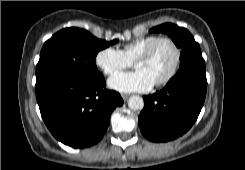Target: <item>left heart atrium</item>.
<instances>
[{"label":"left heart atrium","mask_w":245,"mask_h":170,"mask_svg":"<svg viewBox=\"0 0 245 170\" xmlns=\"http://www.w3.org/2000/svg\"><path fill=\"white\" fill-rule=\"evenodd\" d=\"M153 83L152 79L140 69L118 73L108 81L111 88L122 92L147 91L153 86Z\"/></svg>","instance_id":"1"}]
</instances>
